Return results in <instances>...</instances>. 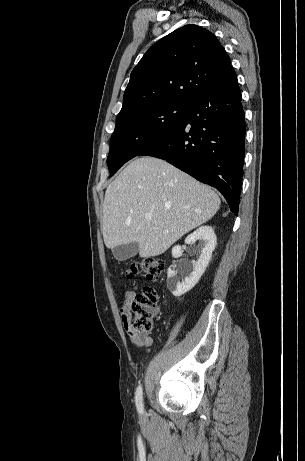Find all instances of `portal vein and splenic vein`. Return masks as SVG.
Wrapping results in <instances>:
<instances>
[{"label": "portal vein and splenic vein", "instance_id": "1", "mask_svg": "<svg viewBox=\"0 0 305 461\" xmlns=\"http://www.w3.org/2000/svg\"><path fill=\"white\" fill-rule=\"evenodd\" d=\"M145 219L148 220V221L151 220L152 215L150 213L145 214Z\"/></svg>", "mask_w": 305, "mask_h": 461}]
</instances>
